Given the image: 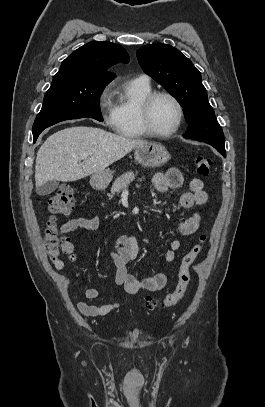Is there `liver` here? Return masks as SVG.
Returning <instances> with one entry per match:
<instances>
[{"mask_svg": "<svg viewBox=\"0 0 265 407\" xmlns=\"http://www.w3.org/2000/svg\"><path fill=\"white\" fill-rule=\"evenodd\" d=\"M146 143L94 127L76 126L60 130L48 137L37 152L36 187L53 180L72 182L87 177L106 169ZM84 154L90 158L81 159Z\"/></svg>", "mask_w": 265, "mask_h": 407, "instance_id": "6515ba94", "label": "liver"}]
</instances>
